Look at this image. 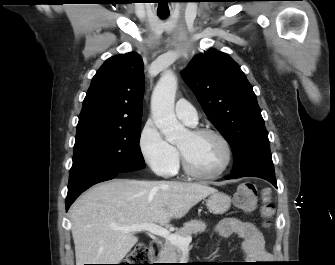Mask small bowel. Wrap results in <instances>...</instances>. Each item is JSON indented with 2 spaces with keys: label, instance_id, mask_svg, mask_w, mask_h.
Instances as JSON below:
<instances>
[{
  "label": "small bowel",
  "instance_id": "c3829d8e",
  "mask_svg": "<svg viewBox=\"0 0 335 265\" xmlns=\"http://www.w3.org/2000/svg\"><path fill=\"white\" fill-rule=\"evenodd\" d=\"M215 231L222 238L237 236L241 240L244 259L249 263H267L270 260L264 238L253 224L237 218H225L217 224Z\"/></svg>",
  "mask_w": 335,
  "mask_h": 265
}]
</instances>
